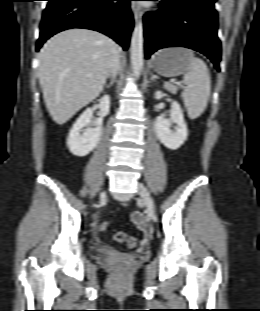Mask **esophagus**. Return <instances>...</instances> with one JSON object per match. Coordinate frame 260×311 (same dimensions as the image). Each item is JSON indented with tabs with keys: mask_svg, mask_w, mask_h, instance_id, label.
I'll use <instances>...</instances> for the list:
<instances>
[{
	"mask_svg": "<svg viewBox=\"0 0 260 311\" xmlns=\"http://www.w3.org/2000/svg\"><path fill=\"white\" fill-rule=\"evenodd\" d=\"M132 12L134 14L135 19H141L143 12L138 5L132 4Z\"/></svg>",
	"mask_w": 260,
	"mask_h": 311,
	"instance_id": "34e87169",
	"label": "esophagus"
}]
</instances>
